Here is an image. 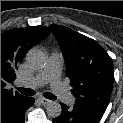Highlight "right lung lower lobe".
I'll use <instances>...</instances> for the list:
<instances>
[{
    "instance_id": "right-lung-lower-lobe-1",
    "label": "right lung lower lobe",
    "mask_w": 123,
    "mask_h": 123,
    "mask_svg": "<svg viewBox=\"0 0 123 123\" xmlns=\"http://www.w3.org/2000/svg\"><path fill=\"white\" fill-rule=\"evenodd\" d=\"M33 104L34 98L24 97L1 105V123H24L25 111Z\"/></svg>"
}]
</instances>
